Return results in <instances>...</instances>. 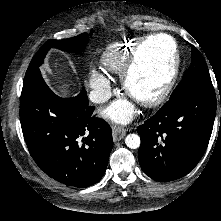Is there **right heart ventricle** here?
Here are the masks:
<instances>
[{
	"label": "right heart ventricle",
	"mask_w": 221,
	"mask_h": 221,
	"mask_svg": "<svg viewBox=\"0 0 221 221\" xmlns=\"http://www.w3.org/2000/svg\"><path fill=\"white\" fill-rule=\"evenodd\" d=\"M143 37H132L110 44L100 60L102 71L106 74H121L134 47Z\"/></svg>",
	"instance_id": "obj_1"
}]
</instances>
